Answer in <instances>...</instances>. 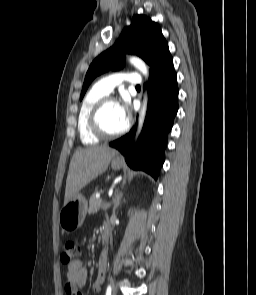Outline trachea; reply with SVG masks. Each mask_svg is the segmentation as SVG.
<instances>
[{"label":"trachea","mask_w":256,"mask_h":295,"mask_svg":"<svg viewBox=\"0 0 256 295\" xmlns=\"http://www.w3.org/2000/svg\"><path fill=\"white\" fill-rule=\"evenodd\" d=\"M136 88H137V89H140V86H139V85H137V86H136Z\"/></svg>","instance_id":"1"}]
</instances>
